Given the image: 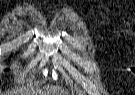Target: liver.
<instances>
[{
    "label": "liver",
    "instance_id": "obj_1",
    "mask_svg": "<svg viewBox=\"0 0 135 95\" xmlns=\"http://www.w3.org/2000/svg\"><path fill=\"white\" fill-rule=\"evenodd\" d=\"M49 89H50V91L52 93H61L60 95H66L65 93H67V92H64L62 89H59V88H56V87H52V86L51 87L48 86L47 92L49 91ZM18 93H23V92L20 91V90H18V89H16V90H13V91L8 92V94H6V95H19ZM31 93H34L32 95H38L36 93H41V92H39L38 90H36V91H32ZM42 93H46V91H44Z\"/></svg>",
    "mask_w": 135,
    "mask_h": 95
}]
</instances>
